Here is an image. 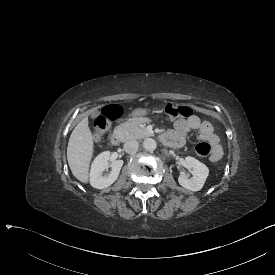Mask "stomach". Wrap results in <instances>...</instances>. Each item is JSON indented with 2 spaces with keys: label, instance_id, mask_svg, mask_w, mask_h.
<instances>
[{
  "label": "stomach",
  "instance_id": "0dacf381",
  "mask_svg": "<svg viewBox=\"0 0 275 275\" xmlns=\"http://www.w3.org/2000/svg\"><path fill=\"white\" fill-rule=\"evenodd\" d=\"M151 113L150 109L147 108H135L131 111L130 117L132 118H142L146 117Z\"/></svg>",
  "mask_w": 275,
  "mask_h": 275
}]
</instances>
